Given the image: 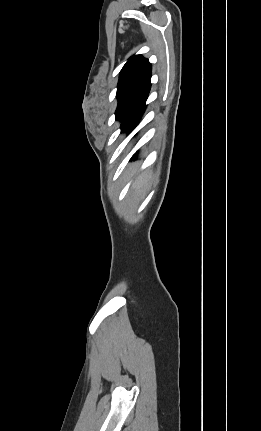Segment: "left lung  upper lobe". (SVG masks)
<instances>
[{
	"label": "left lung upper lobe",
	"instance_id": "5c2ea615",
	"mask_svg": "<svg viewBox=\"0 0 261 431\" xmlns=\"http://www.w3.org/2000/svg\"><path fill=\"white\" fill-rule=\"evenodd\" d=\"M151 77V64L141 55L132 56L120 72L115 112L116 120H122L129 105Z\"/></svg>",
	"mask_w": 261,
	"mask_h": 431
}]
</instances>
